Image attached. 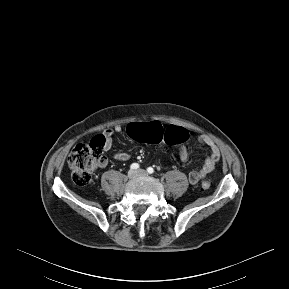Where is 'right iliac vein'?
Masks as SVG:
<instances>
[{
    "label": "right iliac vein",
    "instance_id": "right-iliac-vein-1",
    "mask_svg": "<svg viewBox=\"0 0 289 289\" xmlns=\"http://www.w3.org/2000/svg\"><path fill=\"white\" fill-rule=\"evenodd\" d=\"M137 176V171H135V170H129V172H128V177L130 178V179H133V178H135Z\"/></svg>",
    "mask_w": 289,
    "mask_h": 289
}]
</instances>
